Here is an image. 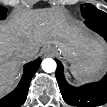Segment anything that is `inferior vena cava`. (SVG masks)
<instances>
[{"instance_id":"1","label":"inferior vena cava","mask_w":107,"mask_h":107,"mask_svg":"<svg viewBox=\"0 0 107 107\" xmlns=\"http://www.w3.org/2000/svg\"><path fill=\"white\" fill-rule=\"evenodd\" d=\"M21 55L25 58H33L35 56V53L32 52L31 50H22Z\"/></svg>"}]
</instances>
